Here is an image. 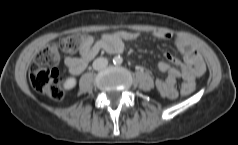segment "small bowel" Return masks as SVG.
I'll return each instance as SVG.
<instances>
[{"label":"small bowel","mask_w":238,"mask_h":145,"mask_svg":"<svg viewBox=\"0 0 238 145\" xmlns=\"http://www.w3.org/2000/svg\"><path fill=\"white\" fill-rule=\"evenodd\" d=\"M140 36L138 32L121 30L103 34L98 40L91 35H83V41L79 48V56H68L65 64L73 74H80L85 70L90 61L101 51L110 54H119L124 49L125 41H132ZM152 36L157 39L169 40L173 37L167 31H154ZM174 43L179 51L184 55V62L166 53L165 57L173 64L180 65V69L171 67L166 61H160L158 68L167 74L165 79H157L155 84L161 96L169 99L177 97V80L182 78L184 84L195 86L196 77L205 71L204 61L189 40L184 37H174Z\"/></svg>","instance_id":"obj_1"}]
</instances>
